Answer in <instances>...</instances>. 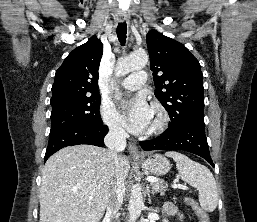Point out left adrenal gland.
<instances>
[{
    "label": "left adrenal gland",
    "mask_w": 257,
    "mask_h": 222,
    "mask_svg": "<svg viewBox=\"0 0 257 222\" xmlns=\"http://www.w3.org/2000/svg\"><path fill=\"white\" fill-rule=\"evenodd\" d=\"M147 194H148L149 203H151L150 189H149V186H148V185H147Z\"/></svg>",
    "instance_id": "left-adrenal-gland-1"
}]
</instances>
